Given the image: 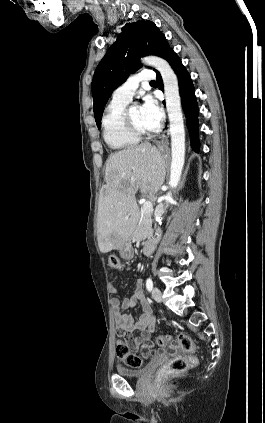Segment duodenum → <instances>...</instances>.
<instances>
[{
    "mask_svg": "<svg viewBox=\"0 0 265 423\" xmlns=\"http://www.w3.org/2000/svg\"><path fill=\"white\" fill-rule=\"evenodd\" d=\"M156 239H150L148 240L144 247H143V254L147 257H150L153 255L155 247H156Z\"/></svg>",
    "mask_w": 265,
    "mask_h": 423,
    "instance_id": "1",
    "label": "duodenum"
}]
</instances>
